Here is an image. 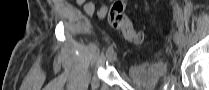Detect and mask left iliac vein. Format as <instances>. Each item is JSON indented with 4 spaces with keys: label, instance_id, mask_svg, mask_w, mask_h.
Wrapping results in <instances>:
<instances>
[{
    "label": "left iliac vein",
    "instance_id": "1",
    "mask_svg": "<svg viewBox=\"0 0 209 90\" xmlns=\"http://www.w3.org/2000/svg\"><path fill=\"white\" fill-rule=\"evenodd\" d=\"M174 39H176V43L179 46V49L183 48V38L181 36V29H174Z\"/></svg>",
    "mask_w": 209,
    "mask_h": 90
}]
</instances>
